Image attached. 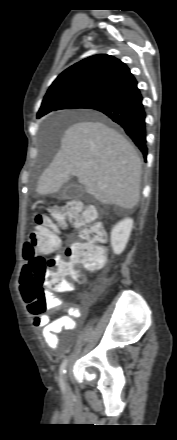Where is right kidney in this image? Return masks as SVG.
I'll return each instance as SVG.
<instances>
[{
	"mask_svg": "<svg viewBox=\"0 0 177 440\" xmlns=\"http://www.w3.org/2000/svg\"><path fill=\"white\" fill-rule=\"evenodd\" d=\"M133 220L130 218H125L115 225V227L111 231V246L113 252L117 255L121 254L130 237L132 228H133Z\"/></svg>",
	"mask_w": 177,
	"mask_h": 440,
	"instance_id": "ca27d5eb",
	"label": "right kidney"
}]
</instances>
